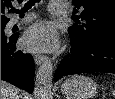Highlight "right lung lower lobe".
<instances>
[{
	"mask_svg": "<svg viewBox=\"0 0 115 99\" xmlns=\"http://www.w3.org/2000/svg\"><path fill=\"white\" fill-rule=\"evenodd\" d=\"M17 39L18 34L1 35V79L32 93L34 60L30 54L16 49Z\"/></svg>",
	"mask_w": 115,
	"mask_h": 99,
	"instance_id": "1",
	"label": "right lung lower lobe"
}]
</instances>
